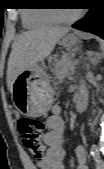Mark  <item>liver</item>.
<instances>
[{
  "label": "liver",
  "mask_w": 104,
  "mask_h": 169,
  "mask_svg": "<svg viewBox=\"0 0 104 169\" xmlns=\"http://www.w3.org/2000/svg\"><path fill=\"white\" fill-rule=\"evenodd\" d=\"M70 31L69 27H39L18 35L12 44L7 66V87L26 69L37 66L52 53L59 40Z\"/></svg>",
  "instance_id": "obj_1"
}]
</instances>
